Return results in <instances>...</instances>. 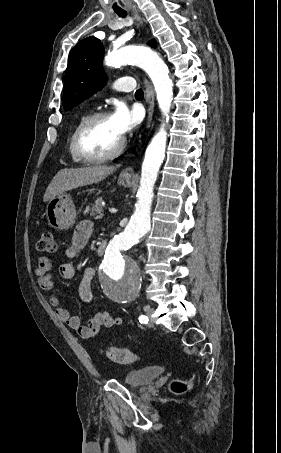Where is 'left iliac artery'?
I'll use <instances>...</instances> for the list:
<instances>
[{
  "label": "left iliac artery",
  "instance_id": "obj_1",
  "mask_svg": "<svg viewBox=\"0 0 281 453\" xmlns=\"http://www.w3.org/2000/svg\"><path fill=\"white\" fill-rule=\"evenodd\" d=\"M148 321H149V319H148V317L145 316V315H141V316L139 317V322H140L141 324H147Z\"/></svg>",
  "mask_w": 281,
  "mask_h": 453
}]
</instances>
